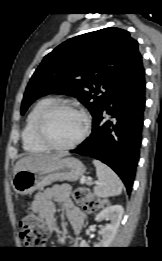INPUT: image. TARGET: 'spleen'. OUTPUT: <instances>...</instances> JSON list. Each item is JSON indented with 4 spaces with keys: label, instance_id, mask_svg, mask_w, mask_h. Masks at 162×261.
<instances>
[{
    "label": "spleen",
    "instance_id": "obj_1",
    "mask_svg": "<svg viewBox=\"0 0 162 261\" xmlns=\"http://www.w3.org/2000/svg\"><path fill=\"white\" fill-rule=\"evenodd\" d=\"M93 164L96 167L98 177V181L94 187V194L101 198L121 194L123 184L118 175L99 160H93Z\"/></svg>",
    "mask_w": 162,
    "mask_h": 261
}]
</instances>
